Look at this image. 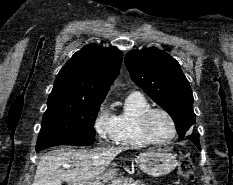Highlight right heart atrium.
<instances>
[{
	"mask_svg": "<svg viewBox=\"0 0 233 185\" xmlns=\"http://www.w3.org/2000/svg\"><path fill=\"white\" fill-rule=\"evenodd\" d=\"M93 128L98 138L103 142L114 140L115 118L107 104L102 102L93 118Z\"/></svg>",
	"mask_w": 233,
	"mask_h": 185,
	"instance_id": "right-heart-atrium-1",
	"label": "right heart atrium"
}]
</instances>
